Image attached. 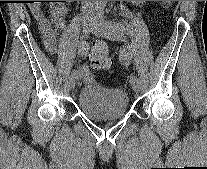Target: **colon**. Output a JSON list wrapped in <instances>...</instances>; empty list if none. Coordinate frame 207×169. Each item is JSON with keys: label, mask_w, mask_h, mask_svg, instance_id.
I'll list each match as a JSON object with an SVG mask.
<instances>
[{"label": "colon", "mask_w": 207, "mask_h": 169, "mask_svg": "<svg viewBox=\"0 0 207 169\" xmlns=\"http://www.w3.org/2000/svg\"><path fill=\"white\" fill-rule=\"evenodd\" d=\"M165 3H170V1H164ZM91 65L97 70H111L112 69V59L107 51L104 43L97 42L92 50L90 56Z\"/></svg>", "instance_id": "obj_1"}]
</instances>
